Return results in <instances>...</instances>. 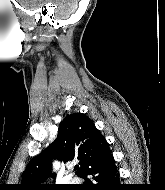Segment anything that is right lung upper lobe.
<instances>
[{"instance_id":"cb5924a9","label":"right lung upper lobe","mask_w":165,"mask_h":190,"mask_svg":"<svg viewBox=\"0 0 165 190\" xmlns=\"http://www.w3.org/2000/svg\"><path fill=\"white\" fill-rule=\"evenodd\" d=\"M110 154L109 144L91 119L83 113L70 114L61 122L55 141L30 160L18 189L62 188L55 184H41L49 176L55 178L50 172L53 158L64 162L78 159L80 165L78 172L81 175Z\"/></svg>"}]
</instances>
